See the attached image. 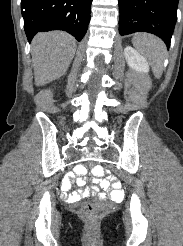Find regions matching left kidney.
<instances>
[{
  "label": "left kidney",
  "instance_id": "5707ae66",
  "mask_svg": "<svg viewBox=\"0 0 183 246\" xmlns=\"http://www.w3.org/2000/svg\"><path fill=\"white\" fill-rule=\"evenodd\" d=\"M125 59L128 65L137 72L148 73L149 64L146 59L134 48L127 46L124 49Z\"/></svg>",
  "mask_w": 183,
  "mask_h": 246
}]
</instances>
